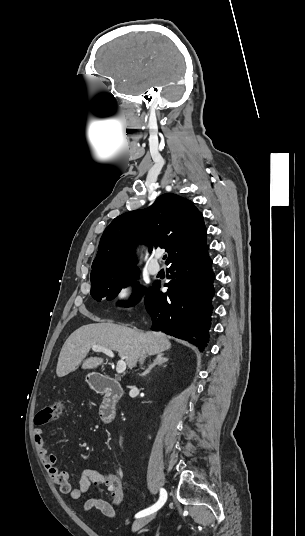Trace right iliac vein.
Here are the masks:
<instances>
[{
    "mask_svg": "<svg viewBox=\"0 0 305 536\" xmlns=\"http://www.w3.org/2000/svg\"><path fill=\"white\" fill-rule=\"evenodd\" d=\"M154 517H155V515H148V516H145V517H142V518H139V519L135 520L134 523H133L132 530L134 532L139 530L140 528L145 526L147 523H149Z\"/></svg>",
    "mask_w": 305,
    "mask_h": 536,
    "instance_id": "obj_1",
    "label": "right iliac vein"
}]
</instances>
